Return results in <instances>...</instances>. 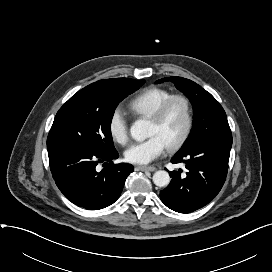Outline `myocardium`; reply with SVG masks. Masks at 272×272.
<instances>
[{
	"label": "myocardium",
	"mask_w": 272,
	"mask_h": 272,
	"mask_svg": "<svg viewBox=\"0 0 272 272\" xmlns=\"http://www.w3.org/2000/svg\"><path fill=\"white\" fill-rule=\"evenodd\" d=\"M176 101L181 102L182 105L184 106L185 125L179 137L176 140H174L170 145H168L167 148L170 151L176 150L179 147H181L184 144V142L188 139L192 131L194 118H193V108H192L190 100L182 94H173L167 99H165L148 117L149 120L151 121L159 122L160 120H162V118L166 114L169 107Z\"/></svg>",
	"instance_id": "myocardium-1"
}]
</instances>
